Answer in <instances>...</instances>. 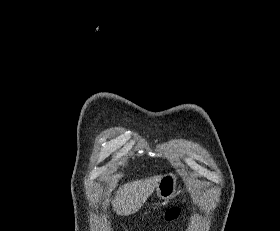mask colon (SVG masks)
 <instances>
[{"label":"colon","instance_id":"obj_1","mask_svg":"<svg viewBox=\"0 0 280 231\" xmlns=\"http://www.w3.org/2000/svg\"><path fill=\"white\" fill-rule=\"evenodd\" d=\"M178 212L177 208H168L167 211L165 212V219L166 220H173L175 213Z\"/></svg>","mask_w":280,"mask_h":231}]
</instances>
